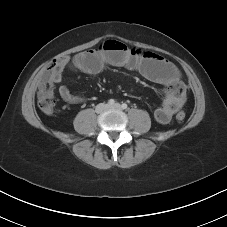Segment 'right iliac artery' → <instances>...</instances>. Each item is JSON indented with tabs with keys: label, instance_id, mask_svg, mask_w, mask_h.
Wrapping results in <instances>:
<instances>
[{
	"label": "right iliac artery",
	"instance_id": "obj_1",
	"mask_svg": "<svg viewBox=\"0 0 227 227\" xmlns=\"http://www.w3.org/2000/svg\"><path fill=\"white\" fill-rule=\"evenodd\" d=\"M108 104H109V105H114V104H115L114 99H110V100L108 101Z\"/></svg>",
	"mask_w": 227,
	"mask_h": 227
}]
</instances>
